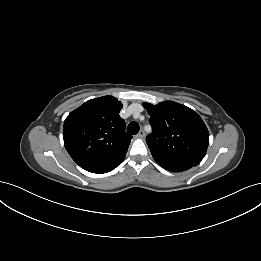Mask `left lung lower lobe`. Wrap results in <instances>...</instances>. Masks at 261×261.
<instances>
[{
	"instance_id": "left-lung-lower-lobe-1",
	"label": "left lung lower lobe",
	"mask_w": 261,
	"mask_h": 261,
	"mask_svg": "<svg viewBox=\"0 0 261 261\" xmlns=\"http://www.w3.org/2000/svg\"><path fill=\"white\" fill-rule=\"evenodd\" d=\"M152 156L160 166L172 172H182L193 167L191 164L176 161L156 153H152Z\"/></svg>"
}]
</instances>
